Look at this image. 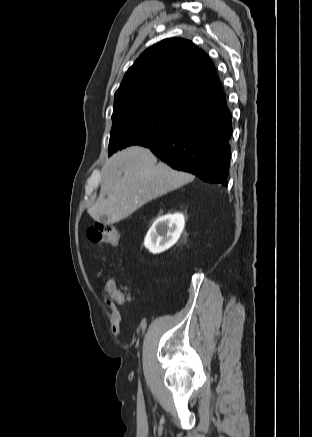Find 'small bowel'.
I'll list each match as a JSON object with an SVG mask.
<instances>
[{"instance_id": "c3829d8e", "label": "small bowel", "mask_w": 312, "mask_h": 437, "mask_svg": "<svg viewBox=\"0 0 312 437\" xmlns=\"http://www.w3.org/2000/svg\"><path fill=\"white\" fill-rule=\"evenodd\" d=\"M106 306L110 313V326L112 333L118 338L121 339L120 333V322H121V314L118 307L109 299H106Z\"/></svg>"}]
</instances>
